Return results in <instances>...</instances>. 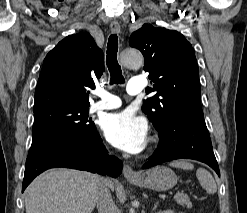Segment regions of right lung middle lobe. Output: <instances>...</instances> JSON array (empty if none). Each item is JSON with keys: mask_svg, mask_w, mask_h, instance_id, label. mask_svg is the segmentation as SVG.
<instances>
[{"mask_svg": "<svg viewBox=\"0 0 247 213\" xmlns=\"http://www.w3.org/2000/svg\"><path fill=\"white\" fill-rule=\"evenodd\" d=\"M33 111V137L54 130L78 129L86 134L97 131L88 118V106L57 102Z\"/></svg>", "mask_w": 247, "mask_h": 213, "instance_id": "right-lung-middle-lobe-1", "label": "right lung middle lobe"}]
</instances>
